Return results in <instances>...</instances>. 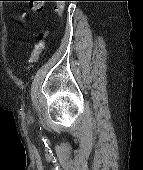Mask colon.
Wrapping results in <instances>:
<instances>
[{
  "label": "colon",
  "mask_w": 143,
  "mask_h": 170,
  "mask_svg": "<svg viewBox=\"0 0 143 170\" xmlns=\"http://www.w3.org/2000/svg\"><path fill=\"white\" fill-rule=\"evenodd\" d=\"M28 1L30 2V9L34 12L39 11V9L42 6L39 3H42V1H56L54 10L57 14V20H60L63 16V11H64V2L63 1L64 0H28ZM27 15H28V13L26 12L24 14V16H27ZM50 32H51L50 30H45L39 34L38 43L32 53V60L34 62L38 61L39 58L41 57V55L44 51V48H45L46 38L49 36Z\"/></svg>",
  "instance_id": "obj_1"
}]
</instances>
